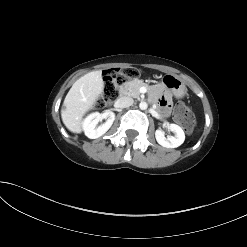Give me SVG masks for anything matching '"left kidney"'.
Returning <instances> with one entry per match:
<instances>
[{
	"label": "left kidney",
	"mask_w": 247,
	"mask_h": 247,
	"mask_svg": "<svg viewBox=\"0 0 247 247\" xmlns=\"http://www.w3.org/2000/svg\"><path fill=\"white\" fill-rule=\"evenodd\" d=\"M168 128L175 133V136H169L166 138L164 132L160 129L156 130L155 137L157 142L166 148H176L183 144L185 140V133L182 128L176 124H169Z\"/></svg>",
	"instance_id": "1"
}]
</instances>
